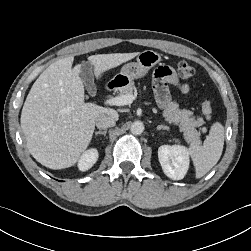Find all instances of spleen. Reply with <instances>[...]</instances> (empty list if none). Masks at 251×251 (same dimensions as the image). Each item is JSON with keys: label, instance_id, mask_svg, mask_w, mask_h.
Instances as JSON below:
<instances>
[{"label": "spleen", "instance_id": "3e777b00", "mask_svg": "<svg viewBox=\"0 0 251 251\" xmlns=\"http://www.w3.org/2000/svg\"><path fill=\"white\" fill-rule=\"evenodd\" d=\"M224 146V127L221 123L212 124L203 145L191 142L189 152L192 157L196 178L203 177L219 161Z\"/></svg>", "mask_w": 251, "mask_h": 251}]
</instances>
